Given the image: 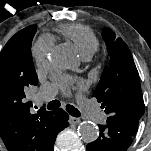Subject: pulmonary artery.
<instances>
[{"label": "pulmonary artery", "instance_id": "pulmonary-artery-1", "mask_svg": "<svg viewBox=\"0 0 151 151\" xmlns=\"http://www.w3.org/2000/svg\"><path fill=\"white\" fill-rule=\"evenodd\" d=\"M91 58V55L83 56L85 61H88ZM56 92V87L53 85H44L41 87L38 97L40 100H49L51 99ZM85 113L95 122H101L104 119V114L98 108L92 106L87 101L83 102L82 106Z\"/></svg>", "mask_w": 151, "mask_h": 151}]
</instances>
